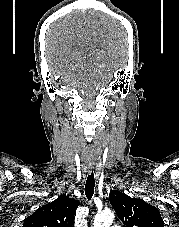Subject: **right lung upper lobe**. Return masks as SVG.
<instances>
[{"mask_svg":"<svg viewBox=\"0 0 179 227\" xmlns=\"http://www.w3.org/2000/svg\"><path fill=\"white\" fill-rule=\"evenodd\" d=\"M79 204L78 200L61 195L27 217L23 227H74L75 213Z\"/></svg>","mask_w":179,"mask_h":227,"instance_id":"cb5924a9","label":"right lung upper lobe"}]
</instances>
